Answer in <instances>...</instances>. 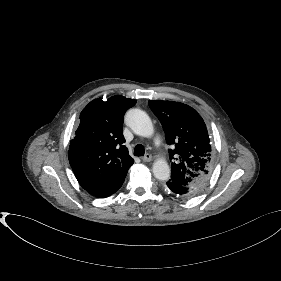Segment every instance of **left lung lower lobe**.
Wrapping results in <instances>:
<instances>
[{"instance_id": "1", "label": "left lung lower lobe", "mask_w": 281, "mask_h": 281, "mask_svg": "<svg viewBox=\"0 0 281 281\" xmlns=\"http://www.w3.org/2000/svg\"><path fill=\"white\" fill-rule=\"evenodd\" d=\"M165 189L169 193L181 198H190L194 196L197 192L195 188L178 185L173 182H167Z\"/></svg>"}]
</instances>
